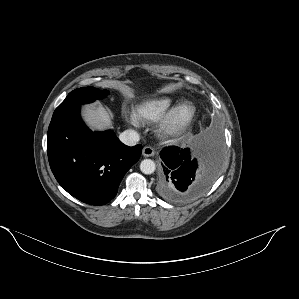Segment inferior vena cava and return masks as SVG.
Instances as JSON below:
<instances>
[{
	"instance_id": "602c4592",
	"label": "inferior vena cava",
	"mask_w": 299,
	"mask_h": 299,
	"mask_svg": "<svg viewBox=\"0 0 299 299\" xmlns=\"http://www.w3.org/2000/svg\"><path fill=\"white\" fill-rule=\"evenodd\" d=\"M120 141L127 146H134L140 140L139 134L132 129L125 130L119 135Z\"/></svg>"
}]
</instances>
